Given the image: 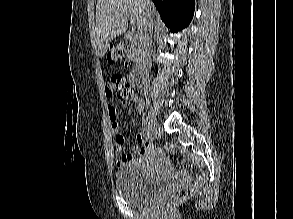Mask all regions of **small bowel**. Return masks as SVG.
Masks as SVG:
<instances>
[{
  "mask_svg": "<svg viewBox=\"0 0 293 219\" xmlns=\"http://www.w3.org/2000/svg\"><path fill=\"white\" fill-rule=\"evenodd\" d=\"M105 92L108 98L112 97L113 91L109 85L106 86ZM131 100L136 104L139 112H142L144 110L145 102L141 96L137 94H133L131 97ZM108 114L111 119L113 132L115 134V146H116V149L120 151L122 150V148L124 147L126 143V137L119 132L117 112L112 102H109L108 104ZM136 140L138 143L141 144V146L137 147L133 153L124 154L121 157H119L116 160V165L118 167H122L128 164H134L137 161L138 156L143 155L148 151L150 144L147 138L143 134H137Z\"/></svg>",
  "mask_w": 293,
  "mask_h": 219,
  "instance_id": "c3829d8e",
  "label": "small bowel"
}]
</instances>
